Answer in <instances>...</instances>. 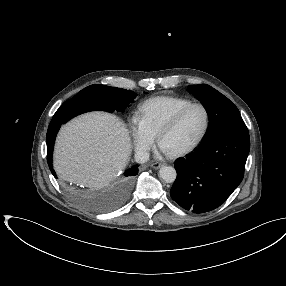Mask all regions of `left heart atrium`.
I'll return each instance as SVG.
<instances>
[{"label": "left heart atrium", "mask_w": 286, "mask_h": 286, "mask_svg": "<svg viewBox=\"0 0 286 286\" xmlns=\"http://www.w3.org/2000/svg\"><path fill=\"white\" fill-rule=\"evenodd\" d=\"M162 149V148H161ZM162 151L164 152V153H166V154H168L169 152H167L166 150H164V149H162Z\"/></svg>", "instance_id": "39dd6f15"}]
</instances>
